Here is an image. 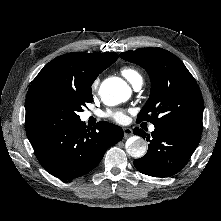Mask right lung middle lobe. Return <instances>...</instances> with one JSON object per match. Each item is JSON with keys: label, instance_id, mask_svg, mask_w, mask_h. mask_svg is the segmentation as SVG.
<instances>
[{"label": "right lung middle lobe", "instance_id": "dd1d6c3e", "mask_svg": "<svg viewBox=\"0 0 221 221\" xmlns=\"http://www.w3.org/2000/svg\"><path fill=\"white\" fill-rule=\"evenodd\" d=\"M92 101L91 88L76 90L47 83L32 92L26 101V122L32 126L77 122L78 113Z\"/></svg>", "mask_w": 221, "mask_h": 221}]
</instances>
